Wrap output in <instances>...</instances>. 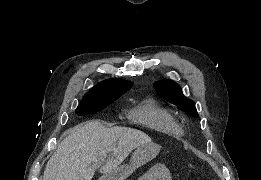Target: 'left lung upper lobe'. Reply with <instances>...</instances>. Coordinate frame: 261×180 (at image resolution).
I'll list each match as a JSON object with an SVG mask.
<instances>
[{
	"instance_id": "obj_1",
	"label": "left lung upper lobe",
	"mask_w": 261,
	"mask_h": 180,
	"mask_svg": "<svg viewBox=\"0 0 261 180\" xmlns=\"http://www.w3.org/2000/svg\"><path fill=\"white\" fill-rule=\"evenodd\" d=\"M154 88L158 94L168 102L180 107L192 116H198L194 102L186 98L181 88L172 80L158 81L154 84Z\"/></svg>"
}]
</instances>
